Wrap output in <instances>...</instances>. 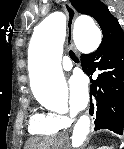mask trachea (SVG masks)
<instances>
[{
  "instance_id": "3493384b",
  "label": "trachea",
  "mask_w": 124,
  "mask_h": 149,
  "mask_svg": "<svg viewBox=\"0 0 124 149\" xmlns=\"http://www.w3.org/2000/svg\"><path fill=\"white\" fill-rule=\"evenodd\" d=\"M69 55H70V57H71V59L73 61H77L78 60L77 57L75 56V54L72 51L69 52Z\"/></svg>"
}]
</instances>
